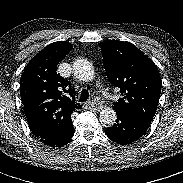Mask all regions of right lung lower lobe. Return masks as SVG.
Returning <instances> with one entry per match:
<instances>
[{
	"label": "right lung lower lobe",
	"instance_id": "1",
	"mask_svg": "<svg viewBox=\"0 0 183 183\" xmlns=\"http://www.w3.org/2000/svg\"><path fill=\"white\" fill-rule=\"evenodd\" d=\"M74 131L72 133H70L67 136L64 137H59V138H41L39 139L42 143H44L45 145L51 146V147H60L63 146L65 144H67L70 139L73 137Z\"/></svg>",
	"mask_w": 183,
	"mask_h": 183
}]
</instances>
